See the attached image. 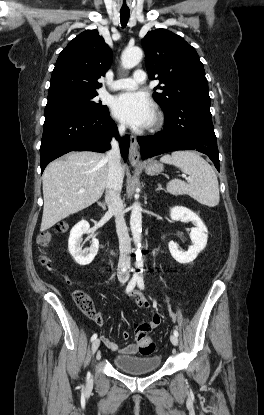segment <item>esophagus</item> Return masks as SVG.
Segmentation results:
<instances>
[{
  "mask_svg": "<svg viewBox=\"0 0 264 415\" xmlns=\"http://www.w3.org/2000/svg\"><path fill=\"white\" fill-rule=\"evenodd\" d=\"M140 155L137 147V138L134 135L130 136L129 147V161L131 164H137L139 162Z\"/></svg>",
  "mask_w": 264,
  "mask_h": 415,
  "instance_id": "obj_1",
  "label": "esophagus"
}]
</instances>
